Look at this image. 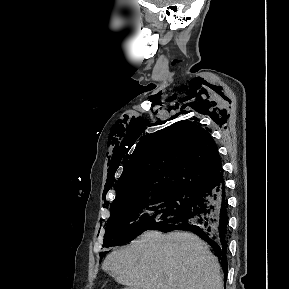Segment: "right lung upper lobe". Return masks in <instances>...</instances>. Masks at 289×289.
Here are the masks:
<instances>
[{
    "instance_id": "1",
    "label": "right lung upper lobe",
    "mask_w": 289,
    "mask_h": 289,
    "mask_svg": "<svg viewBox=\"0 0 289 289\" xmlns=\"http://www.w3.org/2000/svg\"><path fill=\"white\" fill-rule=\"evenodd\" d=\"M122 173L112 205L125 199L170 190H189L223 174L210 130L180 121L137 145Z\"/></svg>"
}]
</instances>
